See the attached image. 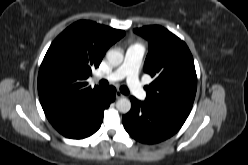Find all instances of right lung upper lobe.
<instances>
[{
	"label": "right lung upper lobe",
	"mask_w": 248,
	"mask_h": 165,
	"mask_svg": "<svg viewBox=\"0 0 248 165\" xmlns=\"http://www.w3.org/2000/svg\"><path fill=\"white\" fill-rule=\"evenodd\" d=\"M123 30L81 20L65 29L49 47L38 74V93L51 124L66 120L97 101L104 89L88 86L108 48Z\"/></svg>",
	"instance_id": "cb5924a9"
}]
</instances>
